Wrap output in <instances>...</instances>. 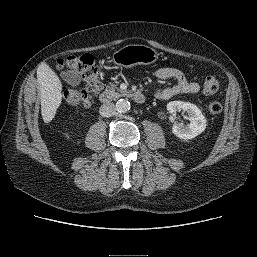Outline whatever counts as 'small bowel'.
Masks as SVG:
<instances>
[{"label": "small bowel", "instance_id": "small-bowel-1", "mask_svg": "<svg viewBox=\"0 0 257 257\" xmlns=\"http://www.w3.org/2000/svg\"><path fill=\"white\" fill-rule=\"evenodd\" d=\"M155 75L161 80L173 79L176 81L174 86L160 89L155 93L159 100H168L178 94H196L200 91L199 83L189 81L179 69L162 67L155 72Z\"/></svg>", "mask_w": 257, "mask_h": 257}]
</instances>
